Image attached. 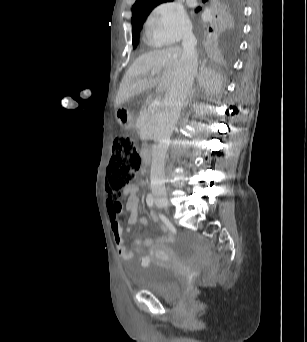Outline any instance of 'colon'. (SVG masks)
<instances>
[{"mask_svg": "<svg viewBox=\"0 0 307 342\" xmlns=\"http://www.w3.org/2000/svg\"><path fill=\"white\" fill-rule=\"evenodd\" d=\"M141 166L135 141L128 136H119L113 146V155L107 169L106 190L111 207L120 202L122 191ZM139 244L137 241L134 243Z\"/></svg>", "mask_w": 307, "mask_h": 342, "instance_id": "colon-1", "label": "colon"}]
</instances>
